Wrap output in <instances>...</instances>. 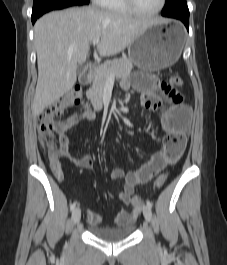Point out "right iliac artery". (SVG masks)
Wrapping results in <instances>:
<instances>
[{"label":"right iliac artery","instance_id":"1","mask_svg":"<svg viewBox=\"0 0 227 265\" xmlns=\"http://www.w3.org/2000/svg\"><path fill=\"white\" fill-rule=\"evenodd\" d=\"M76 203L77 202H74L73 204L70 205V210L73 211L76 207Z\"/></svg>","mask_w":227,"mask_h":265}]
</instances>
